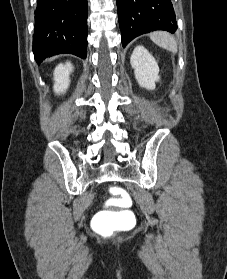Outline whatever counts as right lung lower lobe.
Here are the masks:
<instances>
[{"label":"right lung lower lobe","mask_w":227,"mask_h":279,"mask_svg":"<svg viewBox=\"0 0 227 279\" xmlns=\"http://www.w3.org/2000/svg\"><path fill=\"white\" fill-rule=\"evenodd\" d=\"M87 0H38L33 53L36 62L62 53L87 56Z\"/></svg>","instance_id":"1"}]
</instances>
